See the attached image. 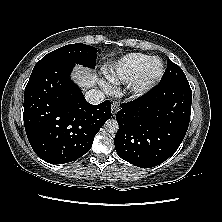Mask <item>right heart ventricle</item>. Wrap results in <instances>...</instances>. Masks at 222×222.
Returning <instances> with one entry per match:
<instances>
[{
	"instance_id": "e07e8e85",
	"label": "right heart ventricle",
	"mask_w": 222,
	"mask_h": 222,
	"mask_svg": "<svg viewBox=\"0 0 222 222\" xmlns=\"http://www.w3.org/2000/svg\"><path fill=\"white\" fill-rule=\"evenodd\" d=\"M152 57L142 53L127 54L106 69L112 83L125 84L134 81Z\"/></svg>"
}]
</instances>
